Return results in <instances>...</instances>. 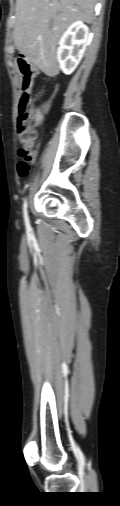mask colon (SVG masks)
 <instances>
[{"label":"colon","mask_w":120,"mask_h":506,"mask_svg":"<svg viewBox=\"0 0 120 506\" xmlns=\"http://www.w3.org/2000/svg\"><path fill=\"white\" fill-rule=\"evenodd\" d=\"M16 57L22 74L23 88V93L19 101V116L17 123L20 141L17 170L21 177H25L30 171L32 153L37 139L36 127L39 124V113L34 111L31 97L29 95V89L32 85V76L35 73V69L28 62V57L26 56V52L24 50H18L16 52Z\"/></svg>","instance_id":"1"}]
</instances>
